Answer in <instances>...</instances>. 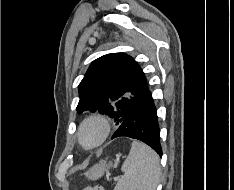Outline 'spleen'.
<instances>
[{"label":"spleen","instance_id":"1","mask_svg":"<svg viewBox=\"0 0 234 190\" xmlns=\"http://www.w3.org/2000/svg\"><path fill=\"white\" fill-rule=\"evenodd\" d=\"M124 175L114 190H156L161 175L157 153L139 141H133L122 167Z\"/></svg>","mask_w":234,"mask_h":190}]
</instances>
